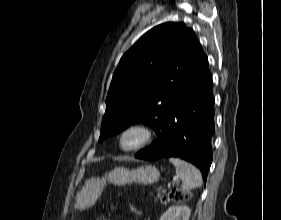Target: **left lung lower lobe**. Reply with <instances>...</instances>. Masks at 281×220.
I'll use <instances>...</instances> for the list:
<instances>
[{
	"label": "left lung lower lobe",
	"mask_w": 281,
	"mask_h": 220,
	"mask_svg": "<svg viewBox=\"0 0 281 220\" xmlns=\"http://www.w3.org/2000/svg\"><path fill=\"white\" fill-rule=\"evenodd\" d=\"M214 132L212 75L205 55L178 87L174 106L157 133V141L135 158L179 157L198 167L206 182Z\"/></svg>",
	"instance_id": "1"
}]
</instances>
